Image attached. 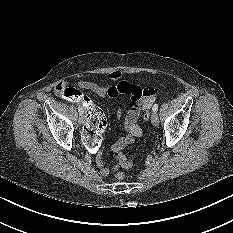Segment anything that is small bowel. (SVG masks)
<instances>
[{
  "instance_id": "obj_1",
  "label": "small bowel",
  "mask_w": 233,
  "mask_h": 233,
  "mask_svg": "<svg viewBox=\"0 0 233 233\" xmlns=\"http://www.w3.org/2000/svg\"><path fill=\"white\" fill-rule=\"evenodd\" d=\"M120 78L121 72L119 71L111 72L106 76L107 81H118ZM78 86L81 89L90 90L102 98H115L120 95H125L130 98L129 107L124 120L125 134L112 143L111 150L113 153L122 152L126 146L133 142L134 138L141 136L142 130L138 124L139 114L141 111L149 109L154 102L155 93H147L150 89L154 90V88H141L140 86L127 81H120L113 85H106L91 81H80ZM68 87L69 84L67 82H60L55 88V93L58 96L64 97L63 90ZM122 115V111H119L118 117H122ZM96 164L103 176H108L112 171L117 170V166L109 168L106 165L105 161L101 157L100 150L97 153Z\"/></svg>"
}]
</instances>
